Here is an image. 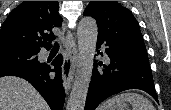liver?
<instances>
[{"label": "liver", "instance_id": "1", "mask_svg": "<svg viewBox=\"0 0 171 110\" xmlns=\"http://www.w3.org/2000/svg\"><path fill=\"white\" fill-rule=\"evenodd\" d=\"M0 110H50L49 106L26 80L6 76L0 78Z\"/></svg>", "mask_w": 171, "mask_h": 110}]
</instances>
